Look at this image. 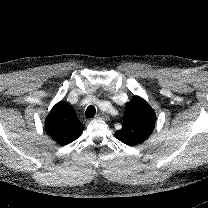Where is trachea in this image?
Returning <instances> with one entry per match:
<instances>
[{"label": "trachea", "mask_w": 208, "mask_h": 208, "mask_svg": "<svg viewBox=\"0 0 208 208\" xmlns=\"http://www.w3.org/2000/svg\"><path fill=\"white\" fill-rule=\"evenodd\" d=\"M95 113H96V109H95V107L92 106V105L89 106V107L86 109V112H85L87 118H92V117H94Z\"/></svg>", "instance_id": "obj_1"}]
</instances>
